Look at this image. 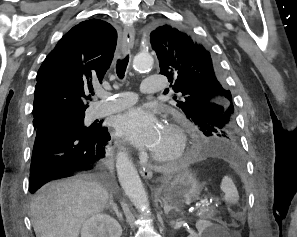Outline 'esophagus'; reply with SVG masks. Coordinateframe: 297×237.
Masks as SVG:
<instances>
[{
  "instance_id": "1",
  "label": "esophagus",
  "mask_w": 297,
  "mask_h": 237,
  "mask_svg": "<svg viewBox=\"0 0 297 237\" xmlns=\"http://www.w3.org/2000/svg\"><path fill=\"white\" fill-rule=\"evenodd\" d=\"M134 38H135V30L132 26H126L124 27L123 31V41H122V54L125 55L129 52V50L133 47L134 44ZM140 173L142 177L145 179H151L152 178V171L148 166L142 167L140 169Z\"/></svg>"
}]
</instances>
